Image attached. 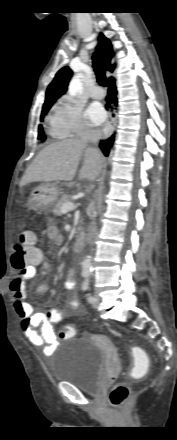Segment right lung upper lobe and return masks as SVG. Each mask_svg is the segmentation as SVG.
Segmentation results:
<instances>
[{"label":"right lung upper lobe","instance_id":"obj_1","mask_svg":"<svg viewBox=\"0 0 177 440\" xmlns=\"http://www.w3.org/2000/svg\"><path fill=\"white\" fill-rule=\"evenodd\" d=\"M97 50L100 52L105 62V68L108 71L114 70L111 59L114 55L110 41L101 33L98 38ZM72 77V70L69 67L60 69L46 91L45 103L55 102L60 96L67 91V86Z\"/></svg>","mask_w":177,"mask_h":440}]
</instances>
